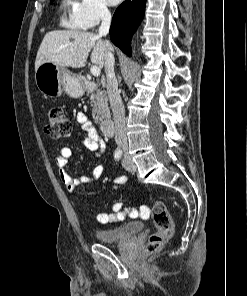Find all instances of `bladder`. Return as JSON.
<instances>
[{
	"label": "bladder",
	"mask_w": 247,
	"mask_h": 296,
	"mask_svg": "<svg viewBox=\"0 0 247 296\" xmlns=\"http://www.w3.org/2000/svg\"><path fill=\"white\" fill-rule=\"evenodd\" d=\"M142 229V222H130L117 228L97 230L95 236L100 243H118L128 240Z\"/></svg>",
	"instance_id": "31cf9c89"
}]
</instances>
